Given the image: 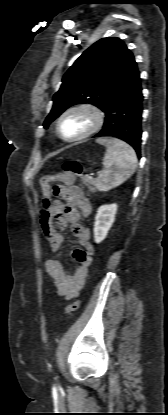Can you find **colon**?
<instances>
[{"label":"colon","instance_id":"5ec220e1","mask_svg":"<svg viewBox=\"0 0 168 415\" xmlns=\"http://www.w3.org/2000/svg\"><path fill=\"white\" fill-rule=\"evenodd\" d=\"M77 178H84V173L81 165L76 161H67L63 165V172L53 175H47L42 177L40 184L43 192V207L41 211V220L45 223L53 221L54 211L52 208V203L50 202V194L53 190L50 187L51 182H63L67 186L72 185V183ZM83 187L90 188L91 182L87 179L83 180ZM93 194H98V189H93ZM80 306V301L76 300L73 303L69 304L65 308V314L69 315L75 312Z\"/></svg>","mask_w":168,"mask_h":415}]
</instances>
